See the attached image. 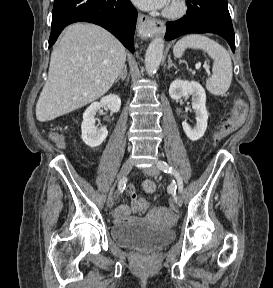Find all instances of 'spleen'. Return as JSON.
Wrapping results in <instances>:
<instances>
[{"label":"spleen","mask_w":273,"mask_h":288,"mask_svg":"<svg viewBox=\"0 0 273 288\" xmlns=\"http://www.w3.org/2000/svg\"><path fill=\"white\" fill-rule=\"evenodd\" d=\"M187 48L201 49L213 59V74L206 81V88L214 95L225 94L232 81V62L228 51L205 35L191 34L184 36L175 44L174 56L182 57Z\"/></svg>","instance_id":"1"}]
</instances>
